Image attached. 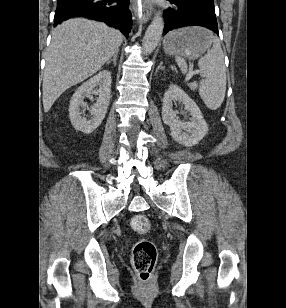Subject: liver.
I'll return each mask as SVG.
<instances>
[{
    "instance_id": "liver-1",
    "label": "liver",
    "mask_w": 286,
    "mask_h": 308,
    "mask_svg": "<svg viewBox=\"0 0 286 308\" xmlns=\"http://www.w3.org/2000/svg\"><path fill=\"white\" fill-rule=\"evenodd\" d=\"M120 31L104 23L74 18L52 32L46 53L42 102L48 112L68 88L95 74L118 51L123 41Z\"/></svg>"
}]
</instances>
